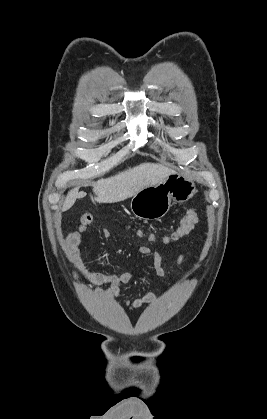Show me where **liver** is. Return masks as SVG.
<instances>
[{"instance_id":"1","label":"liver","mask_w":267,"mask_h":419,"mask_svg":"<svg viewBox=\"0 0 267 419\" xmlns=\"http://www.w3.org/2000/svg\"><path fill=\"white\" fill-rule=\"evenodd\" d=\"M171 173H173L172 169L161 164L142 163L93 183L96 201L99 203L124 201L137 194L143 188L158 184ZM78 190V188H74L67 194L62 211L69 210L76 199L86 196L85 192H79Z\"/></svg>"}]
</instances>
